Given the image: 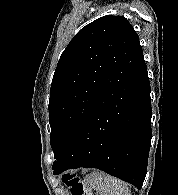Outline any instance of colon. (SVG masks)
Wrapping results in <instances>:
<instances>
[{
	"mask_svg": "<svg viewBox=\"0 0 178 195\" xmlns=\"http://www.w3.org/2000/svg\"><path fill=\"white\" fill-rule=\"evenodd\" d=\"M64 183L71 190V195H93L88 191L84 183L78 178L76 174H67L63 178Z\"/></svg>",
	"mask_w": 178,
	"mask_h": 195,
	"instance_id": "obj_1",
	"label": "colon"
}]
</instances>
